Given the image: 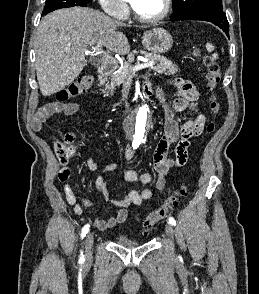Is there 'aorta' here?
<instances>
[{
  "label": "aorta",
  "instance_id": "1",
  "mask_svg": "<svg viewBox=\"0 0 259 294\" xmlns=\"http://www.w3.org/2000/svg\"><path fill=\"white\" fill-rule=\"evenodd\" d=\"M151 126V110L144 105L131 115L127 129L131 137L145 141L151 135Z\"/></svg>",
  "mask_w": 259,
  "mask_h": 294
}]
</instances>
